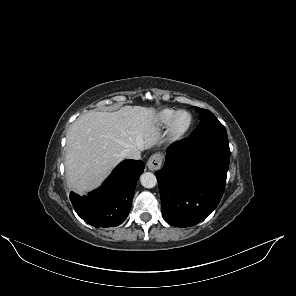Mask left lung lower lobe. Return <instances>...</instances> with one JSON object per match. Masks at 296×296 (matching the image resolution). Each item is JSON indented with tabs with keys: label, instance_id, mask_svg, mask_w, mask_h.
Listing matches in <instances>:
<instances>
[{
	"label": "left lung lower lobe",
	"instance_id": "left-lung-lower-lobe-1",
	"mask_svg": "<svg viewBox=\"0 0 296 296\" xmlns=\"http://www.w3.org/2000/svg\"><path fill=\"white\" fill-rule=\"evenodd\" d=\"M229 159L227 134L188 138L170 146L164 167L155 173L164 219L188 227L207 218L223 195Z\"/></svg>",
	"mask_w": 296,
	"mask_h": 296
}]
</instances>
